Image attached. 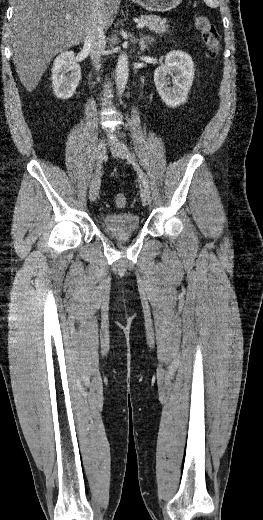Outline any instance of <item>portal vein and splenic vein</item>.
<instances>
[{
  "label": "portal vein and splenic vein",
  "mask_w": 263,
  "mask_h": 520,
  "mask_svg": "<svg viewBox=\"0 0 263 520\" xmlns=\"http://www.w3.org/2000/svg\"><path fill=\"white\" fill-rule=\"evenodd\" d=\"M66 19H67V20H70V19H71V16H70V15H66ZM145 24H146V22H138V24H137V28H142V27L145 26Z\"/></svg>",
  "instance_id": "18ae733b"
}]
</instances>
